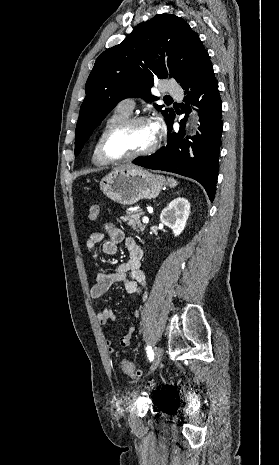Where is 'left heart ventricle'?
Instances as JSON below:
<instances>
[{"label": "left heart ventricle", "mask_w": 279, "mask_h": 465, "mask_svg": "<svg viewBox=\"0 0 279 465\" xmlns=\"http://www.w3.org/2000/svg\"><path fill=\"white\" fill-rule=\"evenodd\" d=\"M154 137L151 124H135L115 133L108 141L107 151L113 157L140 152L152 144Z\"/></svg>", "instance_id": "obj_1"}]
</instances>
